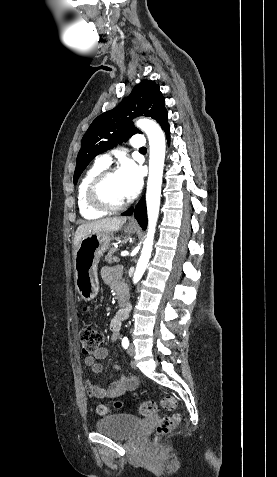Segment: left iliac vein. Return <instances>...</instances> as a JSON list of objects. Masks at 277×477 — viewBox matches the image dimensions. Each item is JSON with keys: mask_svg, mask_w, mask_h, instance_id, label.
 Masks as SVG:
<instances>
[{"mask_svg": "<svg viewBox=\"0 0 277 477\" xmlns=\"http://www.w3.org/2000/svg\"><path fill=\"white\" fill-rule=\"evenodd\" d=\"M127 353L129 356H134L135 355V346L133 344H130L128 349H127ZM132 367L133 368H136L134 364H132Z\"/></svg>", "mask_w": 277, "mask_h": 477, "instance_id": "left-iliac-vein-1", "label": "left iliac vein"}]
</instances>
